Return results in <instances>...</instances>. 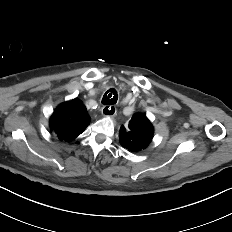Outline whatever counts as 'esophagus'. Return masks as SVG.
<instances>
[{"label": "esophagus", "mask_w": 232, "mask_h": 232, "mask_svg": "<svg viewBox=\"0 0 232 232\" xmlns=\"http://www.w3.org/2000/svg\"><path fill=\"white\" fill-rule=\"evenodd\" d=\"M102 114L107 117H113L116 114V108L114 106H103Z\"/></svg>", "instance_id": "34e87169"}]
</instances>
